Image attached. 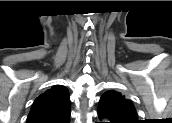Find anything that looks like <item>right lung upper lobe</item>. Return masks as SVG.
<instances>
[{
	"mask_svg": "<svg viewBox=\"0 0 172 123\" xmlns=\"http://www.w3.org/2000/svg\"><path fill=\"white\" fill-rule=\"evenodd\" d=\"M70 107L68 89L55 85L36 98L27 123H70Z\"/></svg>",
	"mask_w": 172,
	"mask_h": 123,
	"instance_id": "cb5924a9",
	"label": "right lung upper lobe"
}]
</instances>
